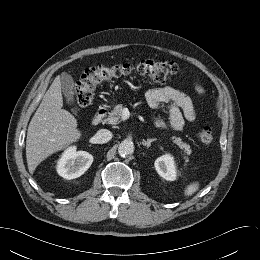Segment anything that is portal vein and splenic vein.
Returning a JSON list of instances; mask_svg holds the SVG:
<instances>
[{
  "label": "portal vein and splenic vein",
  "instance_id": "1",
  "mask_svg": "<svg viewBox=\"0 0 260 260\" xmlns=\"http://www.w3.org/2000/svg\"><path fill=\"white\" fill-rule=\"evenodd\" d=\"M129 116H130V112H129V110H128L127 108L123 109V111H122V115H121L122 120H126V119H128Z\"/></svg>",
  "mask_w": 260,
  "mask_h": 260
}]
</instances>
